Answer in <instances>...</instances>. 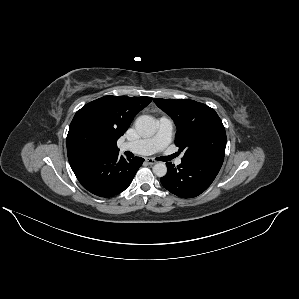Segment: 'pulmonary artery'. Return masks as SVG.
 Returning <instances> with one entry per match:
<instances>
[{
    "label": "pulmonary artery",
    "mask_w": 299,
    "mask_h": 299,
    "mask_svg": "<svg viewBox=\"0 0 299 299\" xmlns=\"http://www.w3.org/2000/svg\"><path fill=\"white\" fill-rule=\"evenodd\" d=\"M172 131V121L167 117H161L158 120L157 132L152 138L124 143L121 145V148L138 155H150L159 152L167 147V145L171 141ZM181 162V158H178L175 161L177 165L181 164Z\"/></svg>",
    "instance_id": "e3ab8cb5"
}]
</instances>
